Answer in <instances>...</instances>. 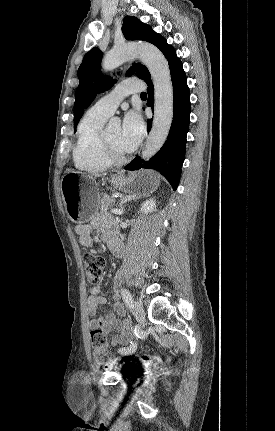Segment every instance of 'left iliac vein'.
Returning a JSON list of instances; mask_svg holds the SVG:
<instances>
[{
	"label": "left iliac vein",
	"instance_id": "4c4485c4",
	"mask_svg": "<svg viewBox=\"0 0 275 431\" xmlns=\"http://www.w3.org/2000/svg\"><path fill=\"white\" fill-rule=\"evenodd\" d=\"M132 309H133V315L136 318V320L140 324H143L145 322V311L143 309L142 304L139 301H134Z\"/></svg>",
	"mask_w": 275,
	"mask_h": 431
}]
</instances>
